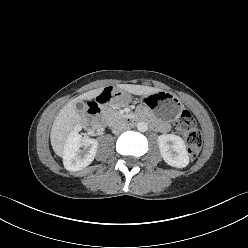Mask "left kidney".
<instances>
[{"label": "left kidney", "instance_id": "1", "mask_svg": "<svg viewBox=\"0 0 248 248\" xmlns=\"http://www.w3.org/2000/svg\"><path fill=\"white\" fill-rule=\"evenodd\" d=\"M163 160L170 166L184 168L189 164V156L183 139L174 134H163L157 139Z\"/></svg>", "mask_w": 248, "mask_h": 248}]
</instances>
